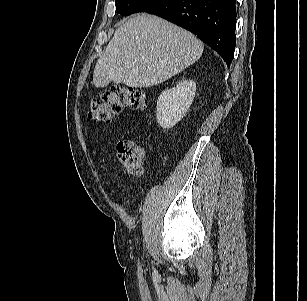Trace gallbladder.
Here are the masks:
<instances>
[{
  "instance_id": "bac80fb5",
  "label": "gallbladder",
  "mask_w": 307,
  "mask_h": 301,
  "mask_svg": "<svg viewBox=\"0 0 307 301\" xmlns=\"http://www.w3.org/2000/svg\"><path fill=\"white\" fill-rule=\"evenodd\" d=\"M114 83H115V84H119L120 82H119V81H114Z\"/></svg>"
}]
</instances>
